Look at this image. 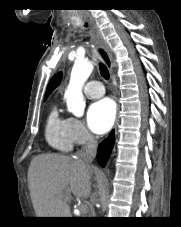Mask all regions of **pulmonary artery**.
I'll return each mask as SVG.
<instances>
[{
	"label": "pulmonary artery",
	"instance_id": "e3ab8cb5",
	"mask_svg": "<svg viewBox=\"0 0 181 227\" xmlns=\"http://www.w3.org/2000/svg\"><path fill=\"white\" fill-rule=\"evenodd\" d=\"M84 93L88 98H99L104 95L105 89L100 81L91 80L84 86Z\"/></svg>",
	"mask_w": 181,
	"mask_h": 227
}]
</instances>
